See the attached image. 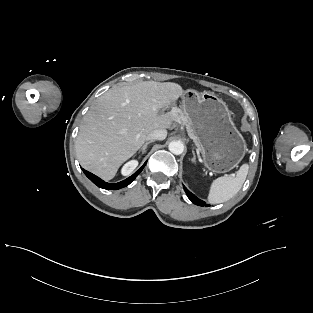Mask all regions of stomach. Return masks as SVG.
Masks as SVG:
<instances>
[{
	"instance_id": "obj_1",
	"label": "stomach",
	"mask_w": 313,
	"mask_h": 313,
	"mask_svg": "<svg viewBox=\"0 0 313 313\" xmlns=\"http://www.w3.org/2000/svg\"><path fill=\"white\" fill-rule=\"evenodd\" d=\"M181 108L197 138L206 168L214 173L235 168L246 153V142L226 103L211 93L187 90Z\"/></svg>"
}]
</instances>
